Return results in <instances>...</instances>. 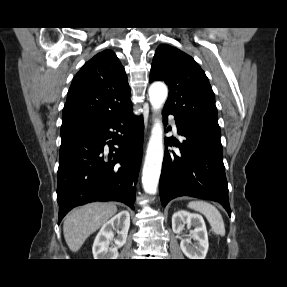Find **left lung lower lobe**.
I'll use <instances>...</instances> for the list:
<instances>
[{
	"instance_id": "obj_1",
	"label": "left lung lower lobe",
	"mask_w": 287,
	"mask_h": 287,
	"mask_svg": "<svg viewBox=\"0 0 287 287\" xmlns=\"http://www.w3.org/2000/svg\"><path fill=\"white\" fill-rule=\"evenodd\" d=\"M164 123L169 112L164 110ZM177 131L183 136L182 143L176 144L171 138L165 139V153L159 183L161 203L176 197L191 196L217 201L231 216L228 201V185L223 164V149L210 139L194 132L176 120ZM176 145L180 153L168 150Z\"/></svg>"
}]
</instances>
